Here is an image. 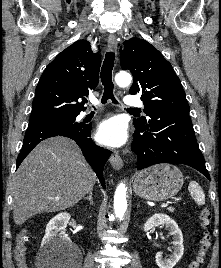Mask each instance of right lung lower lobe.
Returning <instances> with one entry per match:
<instances>
[{
	"instance_id": "98d812e1",
	"label": "right lung lower lobe",
	"mask_w": 221,
	"mask_h": 268,
	"mask_svg": "<svg viewBox=\"0 0 221 268\" xmlns=\"http://www.w3.org/2000/svg\"><path fill=\"white\" fill-rule=\"evenodd\" d=\"M91 125L84 123H68L60 121H36L29 123L26 130L23 147L17 158L16 168L42 140L53 136H65L73 139L81 148L85 159L98 176L103 188L105 181L103 169L110 156V151L97 146L90 137Z\"/></svg>"
}]
</instances>
